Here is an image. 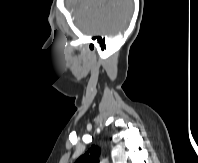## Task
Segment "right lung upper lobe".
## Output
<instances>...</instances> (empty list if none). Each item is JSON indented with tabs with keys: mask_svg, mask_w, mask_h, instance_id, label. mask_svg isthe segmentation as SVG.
<instances>
[{
	"mask_svg": "<svg viewBox=\"0 0 198 163\" xmlns=\"http://www.w3.org/2000/svg\"><path fill=\"white\" fill-rule=\"evenodd\" d=\"M100 149L97 146H91L75 163H99Z\"/></svg>",
	"mask_w": 198,
	"mask_h": 163,
	"instance_id": "cb5924a9",
	"label": "right lung upper lobe"
}]
</instances>
